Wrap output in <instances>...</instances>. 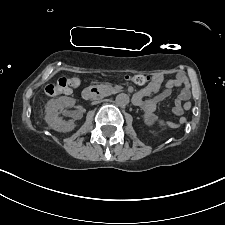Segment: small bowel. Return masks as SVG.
I'll use <instances>...</instances> for the list:
<instances>
[{
    "label": "small bowel",
    "mask_w": 225,
    "mask_h": 225,
    "mask_svg": "<svg viewBox=\"0 0 225 225\" xmlns=\"http://www.w3.org/2000/svg\"><path fill=\"white\" fill-rule=\"evenodd\" d=\"M163 84L164 76L162 74H156L152 82L135 95V102L144 111L145 123L149 126H153L157 122L155 110L158 103L169 97L174 88H180L178 98L172 111L179 119L178 121H169L165 124L168 128H177L181 120H185V118L182 117L183 109L181 104L190 97V83L184 74L178 73L174 79L168 80L164 84V89L160 91Z\"/></svg>",
    "instance_id": "c3829d8e"
}]
</instances>
